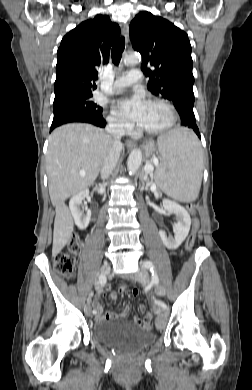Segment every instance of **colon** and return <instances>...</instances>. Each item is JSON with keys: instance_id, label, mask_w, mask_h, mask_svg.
Listing matches in <instances>:
<instances>
[{"instance_id": "obj_1", "label": "colon", "mask_w": 252, "mask_h": 390, "mask_svg": "<svg viewBox=\"0 0 252 390\" xmlns=\"http://www.w3.org/2000/svg\"><path fill=\"white\" fill-rule=\"evenodd\" d=\"M188 210L191 214L194 215L196 213V206L193 203H190L188 204ZM198 229L199 221L197 218H194L192 224V231L186 242V247L188 250H191L195 243ZM81 247V239L78 236L73 235L67 242L66 251L59 253L54 260V267L60 274L64 276H69L73 272L76 265V255L81 251ZM120 289H125L126 292L125 286H122ZM132 294L137 295L138 289L134 288L132 290ZM151 320L152 314L150 312H147L144 316V323L146 325H149L151 323Z\"/></svg>"}]
</instances>
